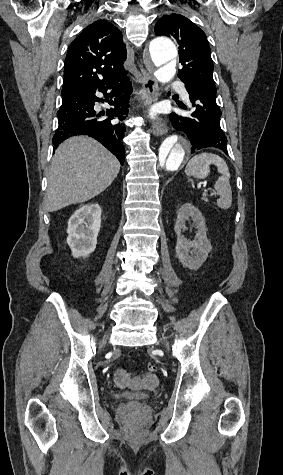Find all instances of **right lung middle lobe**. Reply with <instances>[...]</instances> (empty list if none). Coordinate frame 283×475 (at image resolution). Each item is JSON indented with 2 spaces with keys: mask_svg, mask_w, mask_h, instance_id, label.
I'll return each mask as SVG.
<instances>
[{
  "mask_svg": "<svg viewBox=\"0 0 283 475\" xmlns=\"http://www.w3.org/2000/svg\"><path fill=\"white\" fill-rule=\"evenodd\" d=\"M66 91H68V90H62V93L66 92Z\"/></svg>",
  "mask_w": 283,
  "mask_h": 475,
  "instance_id": "obj_1",
  "label": "right lung middle lobe"
}]
</instances>
